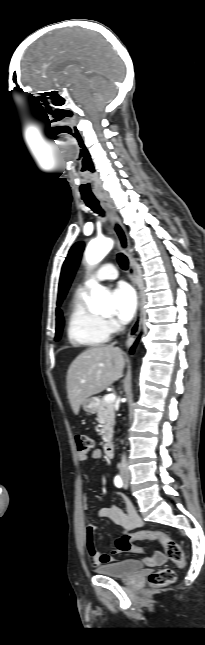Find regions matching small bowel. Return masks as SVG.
I'll return each instance as SVG.
<instances>
[{"instance_id":"1","label":"small bowel","mask_w":205,"mask_h":645,"mask_svg":"<svg viewBox=\"0 0 205 645\" xmlns=\"http://www.w3.org/2000/svg\"><path fill=\"white\" fill-rule=\"evenodd\" d=\"M101 455L102 454L99 449H94L91 452L90 457L93 459H99ZM88 458H89L88 455H83V454L78 455V460L81 462L86 461ZM115 493L119 494V492H115ZM122 498L125 503L126 513L123 512L119 507L111 504L99 509L97 513V517L99 519L109 518L114 523L122 526L126 530H131V529L140 527L142 525V521L134 505L126 496L122 495ZM88 507H89L88 497L84 496L83 508L84 510H87ZM94 530H95V526L91 524L87 526L85 531V546H86L91 564L93 566H99L102 564L112 563L116 561V555L120 553L116 548L112 550L111 553H100L96 549L95 543L93 540ZM138 533H135V534H138ZM165 560H166L165 555L161 552H156L153 556H150V557L148 556L143 559L144 563L149 566L162 564L163 562H165Z\"/></svg>"}]
</instances>
